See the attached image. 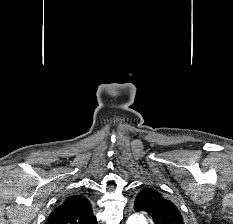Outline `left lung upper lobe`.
Returning a JSON list of instances; mask_svg holds the SVG:
<instances>
[{"mask_svg":"<svg viewBox=\"0 0 233 224\" xmlns=\"http://www.w3.org/2000/svg\"><path fill=\"white\" fill-rule=\"evenodd\" d=\"M134 209L137 212H146L155 224H185L177 205L152 188H145L138 193Z\"/></svg>","mask_w":233,"mask_h":224,"instance_id":"left-lung-upper-lobe-1","label":"left lung upper lobe"}]
</instances>
